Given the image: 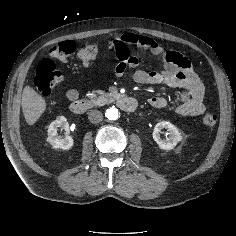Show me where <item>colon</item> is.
I'll return each instance as SVG.
<instances>
[{
  "label": "colon",
  "instance_id": "5ec220e1",
  "mask_svg": "<svg viewBox=\"0 0 236 236\" xmlns=\"http://www.w3.org/2000/svg\"><path fill=\"white\" fill-rule=\"evenodd\" d=\"M114 45V44H113ZM115 50L117 47L114 45ZM102 47L95 43H87L77 52L79 60L88 65L97 58ZM75 51V44L72 41H64L52 46L49 54L57 60L67 59ZM63 82V75L56 69L51 59H43L37 66L35 86L38 92L44 96L51 94L54 89ZM217 116L214 113H205L202 123L207 128H213L217 123Z\"/></svg>",
  "mask_w": 236,
  "mask_h": 236
}]
</instances>
